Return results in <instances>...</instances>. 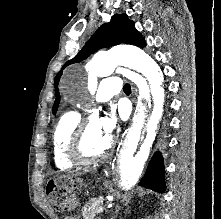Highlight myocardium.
Instances as JSON below:
<instances>
[{"mask_svg": "<svg viewBox=\"0 0 221 219\" xmlns=\"http://www.w3.org/2000/svg\"><path fill=\"white\" fill-rule=\"evenodd\" d=\"M90 118L82 120L76 127L73 136L69 142L67 155L69 159L77 165H90L99 162L109 156L115 146L114 138H110L107 148L99 155L94 157H85L82 154V141Z\"/></svg>", "mask_w": 221, "mask_h": 219, "instance_id": "obj_1", "label": "myocardium"}]
</instances>
